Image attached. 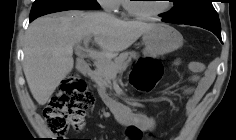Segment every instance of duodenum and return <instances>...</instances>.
Instances as JSON below:
<instances>
[{"instance_id":"1","label":"duodenum","mask_w":236,"mask_h":140,"mask_svg":"<svg viewBox=\"0 0 236 140\" xmlns=\"http://www.w3.org/2000/svg\"><path fill=\"white\" fill-rule=\"evenodd\" d=\"M77 66L81 72L90 74V67L85 56H81L78 59ZM104 102L111 108L112 112L115 114L118 120L125 121L131 117L132 114L130 113L128 108L123 106L122 104L112 101L108 98H105Z\"/></svg>"}]
</instances>
